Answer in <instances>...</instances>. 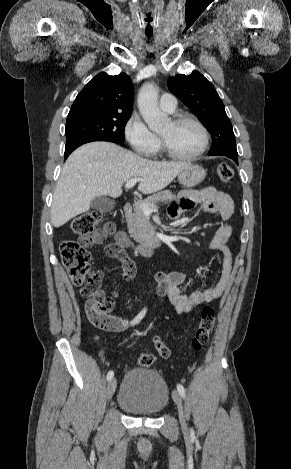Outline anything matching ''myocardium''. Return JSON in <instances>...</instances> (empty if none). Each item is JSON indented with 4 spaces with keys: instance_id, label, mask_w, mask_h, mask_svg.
Wrapping results in <instances>:
<instances>
[{
    "instance_id": "myocardium-1",
    "label": "myocardium",
    "mask_w": 291,
    "mask_h": 469,
    "mask_svg": "<svg viewBox=\"0 0 291 469\" xmlns=\"http://www.w3.org/2000/svg\"><path fill=\"white\" fill-rule=\"evenodd\" d=\"M171 122L173 124H180L183 122L193 123L199 129L201 133L202 141H201L200 147L194 153L189 154V155H179L173 152L168 147L163 137L160 136L161 148H162L163 153L167 155L168 157L174 160H178V161H192L200 157L206 151L209 145V132L207 128L204 126V124L198 118H196L195 116L191 114H178L173 117Z\"/></svg>"
}]
</instances>
